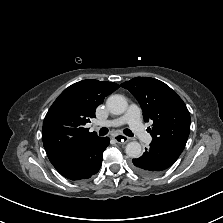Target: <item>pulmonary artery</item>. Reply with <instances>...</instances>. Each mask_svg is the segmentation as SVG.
Wrapping results in <instances>:
<instances>
[{
	"mask_svg": "<svg viewBox=\"0 0 223 223\" xmlns=\"http://www.w3.org/2000/svg\"><path fill=\"white\" fill-rule=\"evenodd\" d=\"M124 124H128L142 142L151 141V136L145 131L141 122L140 109L137 105H130L127 112L121 117L99 123L100 126L105 127H118Z\"/></svg>",
	"mask_w": 223,
	"mask_h": 223,
	"instance_id": "e3ab8cb5",
	"label": "pulmonary artery"
}]
</instances>
